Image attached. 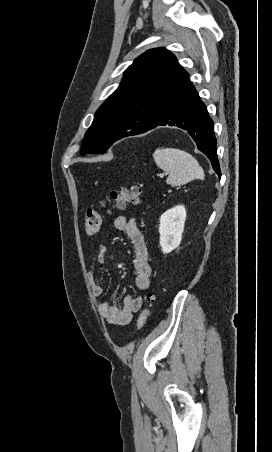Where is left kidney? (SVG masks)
<instances>
[{
  "mask_svg": "<svg viewBox=\"0 0 272 452\" xmlns=\"http://www.w3.org/2000/svg\"><path fill=\"white\" fill-rule=\"evenodd\" d=\"M186 209L184 205H177L160 216V246L164 254L176 249L182 240Z\"/></svg>",
  "mask_w": 272,
  "mask_h": 452,
  "instance_id": "5707ae66",
  "label": "left kidney"
}]
</instances>
